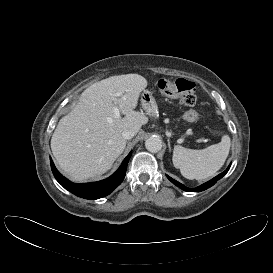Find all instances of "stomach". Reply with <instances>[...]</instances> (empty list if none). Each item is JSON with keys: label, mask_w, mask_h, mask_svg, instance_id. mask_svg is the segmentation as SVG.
Listing matches in <instances>:
<instances>
[{"label": "stomach", "mask_w": 273, "mask_h": 273, "mask_svg": "<svg viewBox=\"0 0 273 273\" xmlns=\"http://www.w3.org/2000/svg\"><path fill=\"white\" fill-rule=\"evenodd\" d=\"M156 85L158 86L159 90L163 93L171 90L173 84L171 81L165 78H159L156 81ZM141 104L145 112L151 117L158 116V106L156 103L155 98L152 95V92L148 90H144L141 94Z\"/></svg>", "instance_id": "stomach-1"}]
</instances>
